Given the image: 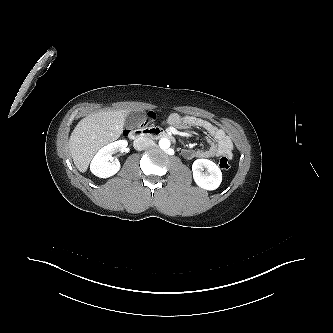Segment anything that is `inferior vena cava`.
Wrapping results in <instances>:
<instances>
[{
  "mask_svg": "<svg viewBox=\"0 0 333 333\" xmlns=\"http://www.w3.org/2000/svg\"><path fill=\"white\" fill-rule=\"evenodd\" d=\"M152 144V141L146 137H139L134 141V148L136 150H144Z\"/></svg>",
  "mask_w": 333,
  "mask_h": 333,
  "instance_id": "1",
  "label": "inferior vena cava"
}]
</instances>
